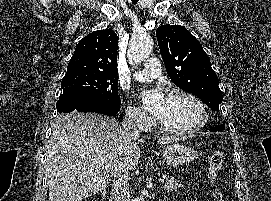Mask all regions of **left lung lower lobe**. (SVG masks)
<instances>
[{"label":"left lung lower lobe","mask_w":271,"mask_h":201,"mask_svg":"<svg viewBox=\"0 0 271 201\" xmlns=\"http://www.w3.org/2000/svg\"><path fill=\"white\" fill-rule=\"evenodd\" d=\"M224 129H225V126L221 125V126H218V127L211 128L210 131L211 132H216V131H222Z\"/></svg>","instance_id":"0a47b994"}]
</instances>
